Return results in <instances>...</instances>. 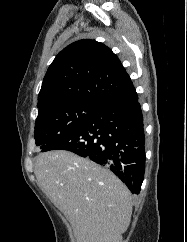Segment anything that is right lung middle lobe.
Here are the masks:
<instances>
[{
    "instance_id": "right-lung-middle-lobe-1",
    "label": "right lung middle lobe",
    "mask_w": 187,
    "mask_h": 242,
    "mask_svg": "<svg viewBox=\"0 0 187 242\" xmlns=\"http://www.w3.org/2000/svg\"><path fill=\"white\" fill-rule=\"evenodd\" d=\"M102 106L74 102L63 104L38 114L35 122V140L40 149L70 133L95 115Z\"/></svg>"
}]
</instances>
